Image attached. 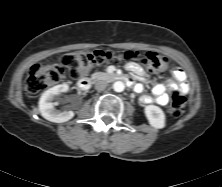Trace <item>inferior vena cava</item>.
<instances>
[{
    "instance_id": "1",
    "label": "inferior vena cava",
    "mask_w": 222,
    "mask_h": 187,
    "mask_svg": "<svg viewBox=\"0 0 222 187\" xmlns=\"http://www.w3.org/2000/svg\"><path fill=\"white\" fill-rule=\"evenodd\" d=\"M108 86V83L104 80H99L95 83V89L98 91L104 90Z\"/></svg>"
}]
</instances>
